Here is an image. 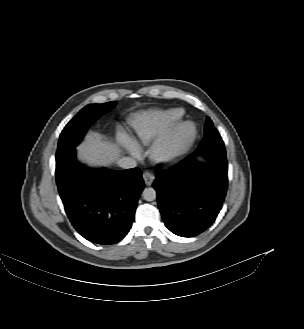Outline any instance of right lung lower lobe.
I'll return each instance as SVG.
<instances>
[{"instance_id":"obj_1","label":"right lung lower lobe","mask_w":304,"mask_h":329,"mask_svg":"<svg viewBox=\"0 0 304 329\" xmlns=\"http://www.w3.org/2000/svg\"><path fill=\"white\" fill-rule=\"evenodd\" d=\"M55 174L65 211L84 238L109 245L126 236L144 188L138 168L89 169L76 160L73 149L56 158Z\"/></svg>"}]
</instances>
